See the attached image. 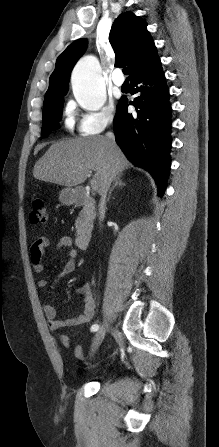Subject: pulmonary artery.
<instances>
[{
    "mask_svg": "<svg viewBox=\"0 0 219 447\" xmlns=\"http://www.w3.org/2000/svg\"><path fill=\"white\" fill-rule=\"evenodd\" d=\"M112 82L115 86L121 87L124 84V77L119 68L115 69L112 74Z\"/></svg>",
    "mask_w": 219,
    "mask_h": 447,
    "instance_id": "obj_1",
    "label": "pulmonary artery"
}]
</instances>
